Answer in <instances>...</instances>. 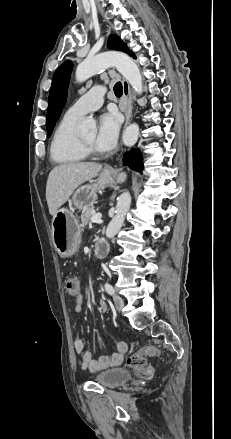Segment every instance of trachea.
Listing matches in <instances>:
<instances>
[{
  "label": "trachea",
  "mask_w": 231,
  "mask_h": 439,
  "mask_svg": "<svg viewBox=\"0 0 231 439\" xmlns=\"http://www.w3.org/2000/svg\"><path fill=\"white\" fill-rule=\"evenodd\" d=\"M114 93L117 97H121L123 94V87L121 82H117L114 86Z\"/></svg>",
  "instance_id": "obj_1"
}]
</instances>
